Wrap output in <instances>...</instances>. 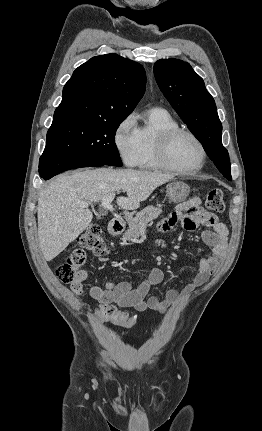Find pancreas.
<instances>
[{
	"instance_id": "obj_1",
	"label": "pancreas",
	"mask_w": 262,
	"mask_h": 431,
	"mask_svg": "<svg viewBox=\"0 0 262 431\" xmlns=\"http://www.w3.org/2000/svg\"><path fill=\"white\" fill-rule=\"evenodd\" d=\"M162 213L161 208L154 206H147L139 212L135 218L128 219L129 229L123 234L124 240L138 238L141 230L148 224V222L157 218Z\"/></svg>"
}]
</instances>
